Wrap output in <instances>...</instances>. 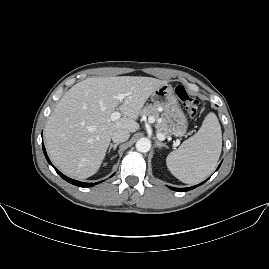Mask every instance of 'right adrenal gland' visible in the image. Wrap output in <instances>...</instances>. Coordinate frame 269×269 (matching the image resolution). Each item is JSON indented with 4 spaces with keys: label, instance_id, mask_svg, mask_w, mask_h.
<instances>
[{
    "label": "right adrenal gland",
    "instance_id": "obj_1",
    "mask_svg": "<svg viewBox=\"0 0 269 269\" xmlns=\"http://www.w3.org/2000/svg\"><path fill=\"white\" fill-rule=\"evenodd\" d=\"M120 143H116V144H110V147L108 149V153H110L111 149L113 148V150H116L117 146L119 145ZM114 157H112L111 159H113Z\"/></svg>",
    "mask_w": 269,
    "mask_h": 269
}]
</instances>
